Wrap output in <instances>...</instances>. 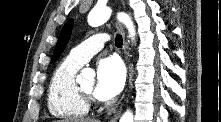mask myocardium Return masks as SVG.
<instances>
[{"instance_id": "myocardium-1", "label": "myocardium", "mask_w": 221, "mask_h": 122, "mask_svg": "<svg viewBox=\"0 0 221 122\" xmlns=\"http://www.w3.org/2000/svg\"><path fill=\"white\" fill-rule=\"evenodd\" d=\"M77 89H78V93L81 96V98L88 104H95L96 103V99L94 97L93 94L88 93L87 91H85L81 85H77Z\"/></svg>"}]
</instances>
